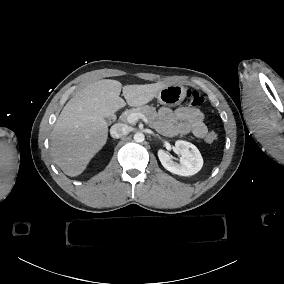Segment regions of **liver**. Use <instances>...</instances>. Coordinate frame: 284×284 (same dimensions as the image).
I'll list each match as a JSON object with an SVG mask.
<instances>
[{"mask_svg": "<svg viewBox=\"0 0 284 284\" xmlns=\"http://www.w3.org/2000/svg\"><path fill=\"white\" fill-rule=\"evenodd\" d=\"M167 84L124 85L103 79L81 88L64 106L51 133L55 164L69 177L81 175L108 141L106 118L124 108L141 107ZM126 102L119 97L120 93Z\"/></svg>", "mask_w": 284, "mask_h": 284, "instance_id": "obj_1", "label": "liver"}]
</instances>
